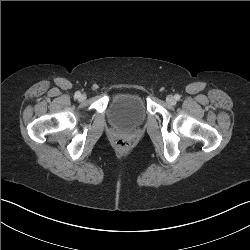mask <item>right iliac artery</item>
Returning <instances> with one entry per match:
<instances>
[{"mask_svg": "<svg viewBox=\"0 0 250 250\" xmlns=\"http://www.w3.org/2000/svg\"><path fill=\"white\" fill-rule=\"evenodd\" d=\"M81 96V93L79 92V91H77L76 93H75V98H79Z\"/></svg>", "mask_w": 250, "mask_h": 250, "instance_id": "right-iliac-artery-1", "label": "right iliac artery"}]
</instances>
